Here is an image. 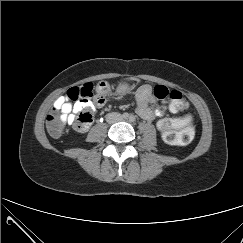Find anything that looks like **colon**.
I'll list each match as a JSON object with an SVG mask.
<instances>
[{
    "mask_svg": "<svg viewBox=\"0 0 243 243\" xmlns=\"http://www.w3.org/2000/svg\"><path fill=\"white\" fill-rule=\"evenodd\" d=\"M111 89L107 81H100L95 86L92 83H84L68 90L67 96L74 101H90L97 94L105 95ZM94 91L96 94L94 95ZM153 94L157 99H170V110L173 113H185L188 110V102L183 95L176 90L157 85ZM92 122V112L85 110L80 113L75 123L78 130H82ZM65 122L55 112H51L46 118V126L49 134L58 137L62 134ZM157 127L163 140L168 144L186 145L192 141L195 135L194 124L190 115L179 118H166L158 122Z\"/></svg>",
    "mask_w": 243,
    "mask_h": 243,
    "instance_id": "colon-1",
    "label": "colon"
}]
</instances>
